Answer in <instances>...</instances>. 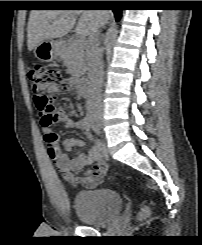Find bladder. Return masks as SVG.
<instances>
[{
  "instance_id": "bladder-1",
  "label": "bladder",
  "mask_w": 202,
  "mask_h": 245,
  "mask_svg": "<svg viewBox=\"0 0 202 245\" xmlns=\"http://www.w3.org/2000/svg\"><path fill=\"white\" fill-rule=\"evenodd\" d=\"M122 206L120 194L109 188L82 189L76 194L73 203L79 220L93 226L107 224L120 213Z\"/></svg>"
}]
</instances>
